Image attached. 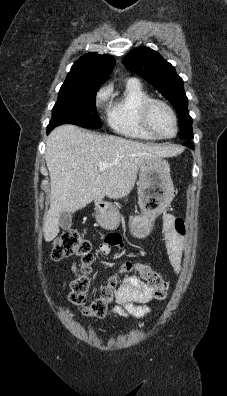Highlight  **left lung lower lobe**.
<instances>
[{
    "instance_id": "left-lung-lower-lobe-1",
    "label": "left lung lower lobe",
    "mask_w": 227,
    "mask_h": 396,
    "mask_svg": "<svg viewBox=\"0 0 227 396\" xmlns=\"http://www.w3.org/2000/svg\"><path fill=\"white\" fill-rule=\"evenodd\" d=\"M191 139H193V138H190V139H187V140H191ZM184 145H185V146H188V147H190V148H192V144H191L189 141H187L186 143H184Z\"/></svg>"
}]
</instances>
